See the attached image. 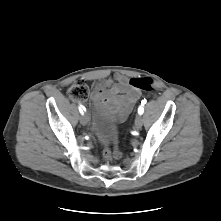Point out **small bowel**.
I'll return each instance as SVG.
<instances>
[{
	"mask_svg": "<svg viewBox=\"0 0 221 221\" xmlns=\"http://www.w3.org/2000/svg\"><path fill=\"white\" fill-rule=\"evenodd\" d=\"M92 94L97 101L107 102L120 122L127 119L141 97L140 92L131 87L128 77L120 73L95 83Z\"/></svg>",
	"mask_w": 221,
	"mask_h": 221,
	"instance_id": "obj_1",
	"label": "small bowel"
}]
</instances>
